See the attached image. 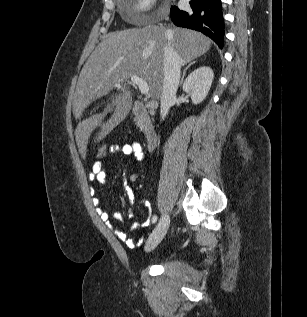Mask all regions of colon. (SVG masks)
<instances>
[{"label": "colon", "instance_id": "1", "mask_svg": "<svg viewBox=\"0 0 307 317\" xmlns=\"http://www.w3.org/2000/svg\"><path fill=\"white\" fill-rule=\"evenodd\" d=\"M111 146L100 145L97 147L96 158L98 162L103 163V161L108 157V155L111 153Z\"/></svg>", "mask_w": 307, "mask_h": 317}]
</instances>
